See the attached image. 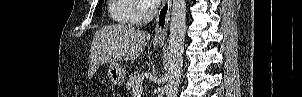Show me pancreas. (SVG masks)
I'll list each match as a JSON object with an SVG mask.
<instances>
[{"instance_id": "cf45deb5", "label": "pancreas", "mask_w": 302, "mask_h": 97, "mask_svg": "<svg viewBox=\"0 0 302 97\" xmlns=\"http://www.w3.org/2000/svg\"><path fill=\"white\" fill-rule=\"evenodd\" d=\"M143 81V76L141 73H131L129 75V80L127 82V89H133L134 86H136L137 84H140Z\"/></svg>"}]
</instances>
